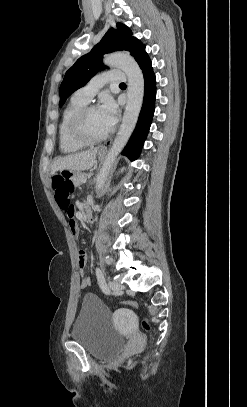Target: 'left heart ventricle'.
<instances>
[{
    "label": "left heart ventricle",
    "instance_id": "obj_1",
    "mask_svg": "<svg viewBox=\"0 0 247 407\" xmlns=\"http://www.w3.org/2000/svg\"><path fill=\"white\" fill-rule=\"evenodd\" d=\"M84 127L86 133L93 138L100 137L110 130L98 108L88 112Z\"/></svg>",
    "mask_w": 247,
    "mask_h": 407
}]
</instances>
